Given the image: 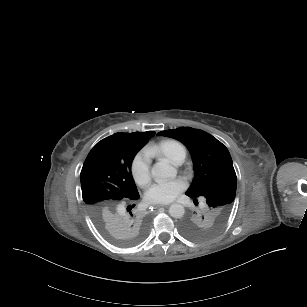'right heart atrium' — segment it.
<instances>
[{"mask_svg": "<svg viewBox=\"0 0 307 307\" xmlns=\"http://www.w3.org/2000/svg\"><path fill=\"white\" fill-rule=\"evenodd\" d=\"M131 171L137 182H144L149 178L150 162L144 152H139L133 157Z\"/></svg>", "mask_w": 307, "mask_h": 307, "instance_id": "d8ad5b80", "label": "right heart atrium"}]
</instances>
